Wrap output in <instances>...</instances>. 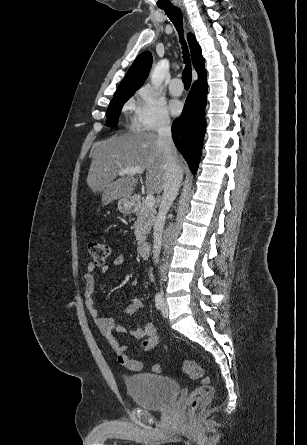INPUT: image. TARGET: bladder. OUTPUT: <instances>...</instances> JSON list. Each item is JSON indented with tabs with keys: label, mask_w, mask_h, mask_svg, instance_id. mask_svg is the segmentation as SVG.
I'll list each match as a JSON object with an SVG mask.
<instances>
[{
	"label": "bladder",
	"mask_w": 307,
	"mask_h": 445,
	"mask_svg": "<svg viewBox=\"0 0 307 445\" xmlns=\"http://www.w3.org/2000/svg\"><path fill=\"white\" fill-rule=\"evenodd\" d=\"M125 386L132 401L147 410L167 408L180 391L179 383L175 379L147 372L128 376Z\"/></svg>",
	"instance_id": "bladder-1"
}]
</instances>
